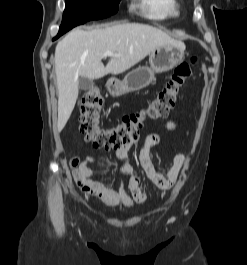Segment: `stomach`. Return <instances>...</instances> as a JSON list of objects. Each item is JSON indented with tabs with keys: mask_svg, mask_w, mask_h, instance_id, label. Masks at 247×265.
I'll use <instances>...</instances> for the list:
<instances>
[{
	"mask_svg": "<svg viewBox=\"0 0 247 265\" xmlns=\"http://www.w3.org/2000/svg\"><path fill=\"white\" fill-rule=\"evenodd\" d=\"M184 51L185 46L180 44L157 47L149 56V67L133 69L121 81L110 79L106 85L108 92L113 97H119L148 86L155 79L156 73L166 72L177 66L184 59Z\"/></svg>",
	"mask_w": 247,
	"mask_h": 265,
	"instance_id": "obj_1",
	"label": "stomach"
}]
</instances>
